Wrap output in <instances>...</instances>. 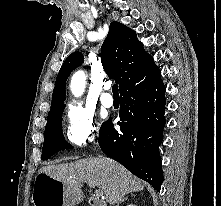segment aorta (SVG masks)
I'll return each instance as SVG.
<instances>
[{
    "label": "aorta",
    "mask_w": 221,
    "mask_h": 206,
    "mask_svg": "<svg viewBox=\"0 0 221 206\" xmlns=\"http://www.w3.org/2000/svg\"><path fill=\"white\" fill-rule=\"evenodd\" d=\"M86 85V76L83 71L76 72L70 82V89L74 96L79 97L83 94Z\"/></svg>",
    "instance_id": "obj_1"
}]
</instances>
